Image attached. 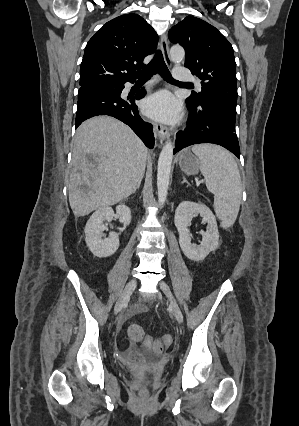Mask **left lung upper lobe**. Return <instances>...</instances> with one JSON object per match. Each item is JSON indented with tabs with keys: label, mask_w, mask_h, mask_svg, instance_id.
<instances>
[{
	"label": "left lung upper lobe",
	"mask_w": 299,
	"mask_h": 426,
	"mask_svg": "<svg viewBox=\"0 0 299 426\" xmlns=\"http://www.w3.org/2000/svg\"><path fill=\"white\" fill-rule=\"evenodd\" d=\"M168 36L185 49V67L202 80V91L187 99L197 105L217 102L236 112V67L228 40L215 27L193 16L172 27Z\"/></svg>",
	"instance_id": "obj_1"
}]
</instances>
